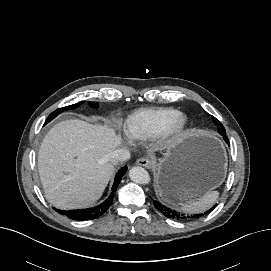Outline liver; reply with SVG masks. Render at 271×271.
Segmentation results:
<instances>
[{"instance_id": "1", "label": "liver", "mask_w": 271, "mask_h": 271, "mask_svg": "<svg viewBox=\"0 0 271 271\" xmlns=\"http://www.w3.org/2000/svg\"><path fill=\"white\" fill-rule=\"evenodd\" d=\"M121 143L113 129L82 120H66L53 126L38 153L47 201L65 210L95 204L114 172L109 156Z\"/></svg>"}]
</instances>
